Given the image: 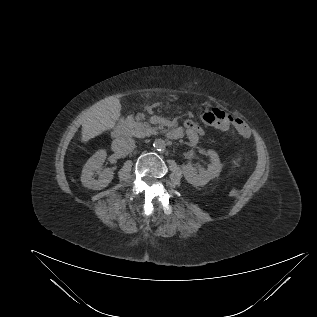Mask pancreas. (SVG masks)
I'll list each match as a JSON object with an SVG mask.
<instances>
[{
    "label": "pancreas",
    "instance_id": "pancreas-1",
    "mask_svg": "<svg viewBox=\"0 0 317 317\" xmlns=\"http://www.w3.org/2000/svg\"><path fill=\"white\" fill-rule=\"evenodd\" d=\"M145 118L143 114L137 115L135 118L130 116L126 120V134L130 136H135L138 138H143L145 136H150L156 133V128L151 127L149 123L142 122Z\"/></svg>",
    "mask_w": 317,
    "mask_h": 317
}]
</instances>
